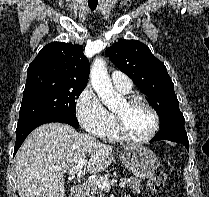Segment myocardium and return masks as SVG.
<instances>
[{"label": "myocardium", "mask_w": 209, "mask_h": 197, "mask_svg": "<svg viewBox=\"0 0 209 197\" xmlns=\"http://www.w3.org/2000/svg\"><path fill=\"white\" fill-rule=\"evenodd\" d=\"M124 101L127 105H133L135 103H142L143 105H145L153 116V126L147 136L140 138V139L133 138L126 132L124 124L120 116L114 113L115 128H116L119 138H121L127 143L135 144V145H141V144H146L150 142L155 137L159 129L160 118H159L158 112L153 107V105L141 95H137V94L129 95L124 99Z\"/></svg>", "instance_id": "obj_1"}]
</instances>
